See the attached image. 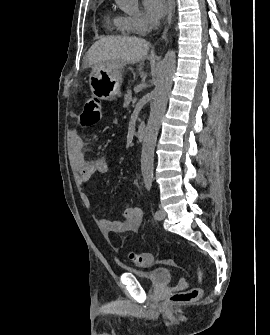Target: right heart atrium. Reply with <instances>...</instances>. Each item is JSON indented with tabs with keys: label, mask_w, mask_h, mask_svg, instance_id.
I'll return each mask as SVG.
<instances>
[{
	"label": "right heart atrium",
	"mask_w": 270,
	"mask_h": 335,
	"mask_svg": "<svg viewBox=\"0 0 270 335\" xmlns=\"http://www.w3.org/2000/svg\"><path fill=\"white\" fill-rule=\"evenodd\" d=\"M131 31L138 35H146L149 31L150 25L144 17H127Z\"/></svg>",
	"instance_id": "d8ad5b80"
}]
</instances>
